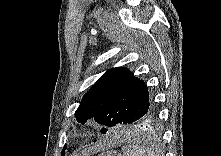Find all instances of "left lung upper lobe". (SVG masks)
Here are the masks:
<instances>
[{
  "label": "left lung upper lobe",
  "mask_w": 221,
  "mask_h": 156,
  "mask_svg": "<svg viewBox=\"0 0 221 156\" xmlns=\"http://www.w3.org/2000/svg\"><path fill=\"white\" fill-rule=\"evenodd\" d=\"M154 110L145 83L127 68L115 67L107 70L85 94L75 117L82 124L94 118L105 126L101 133L106 134V127L133 124Z\"/></svg>",
  "instance_id": "obj_1"
}]
</instances>
